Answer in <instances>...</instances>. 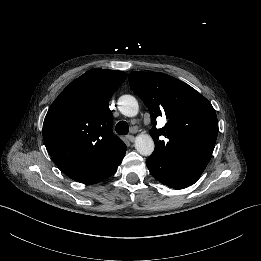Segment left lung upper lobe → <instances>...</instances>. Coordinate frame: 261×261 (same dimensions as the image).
Listing matches in <instances>:
<instances>
[{
    "label": "left lung upper lobe",
    "mask_w": 261,
    "mask_h": 261,
    "mask_svg": "<svg viewBox=\"0 0 261 261\" xmlns=\"http://www.w3.org/2000/svg\"><path fill=\"white\" fill-rule=\"evenodd\" d=\"M129 83L149 109L152 124L158 116L168 120L165 127L150 130L155 142L152 155L205 169L218 134L211 103L188 84L163 73L132 71Z\"/></svg>",
    "instance_id": "1"
}]
</instances>
